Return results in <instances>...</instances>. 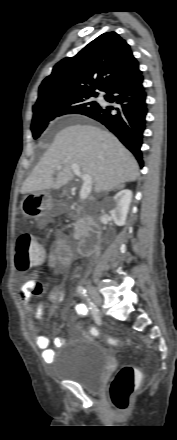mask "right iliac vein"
<instances>
[{
	"instance_id": "1",
	"label": "right iliac vein",
	"mask_w": 177,
	"mask_h": 440,
	"mask_svg": "<svg viewBox=\"0 0 177 440\" xmlns=\"http://www.w3.org/2000/svg\"><path fill=\"white\" fill-rule=\"evenodd\" d=\"M88 292L90 297L92 298L93 302L97 305V306H101L102 304V298L99 295V293L97 292V290L95 289V287H93L92 285H88Z\"/></svg>"
}]
</instances>
